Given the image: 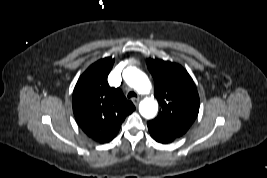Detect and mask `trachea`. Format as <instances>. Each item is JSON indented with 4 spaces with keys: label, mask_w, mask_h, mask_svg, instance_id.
I'll return each mask as SVG.
<instances>
[{
    "label": "trachea",
    "mask_w": 267,
    "mask_h": 178,
    "mask_svg": "<svg viewBox=\"0 0 267 178\" xmlns=\"http://www.w3.org/2000/svg\"><path fill=\"white\" fill-rule=\"evenodd\" d=\"M127 97L130 99V98H132V97H137V94L135 93V92H129L128 93V95H127Z\"/></svg>",
    "instance_id": "1"
}]
</instances>
